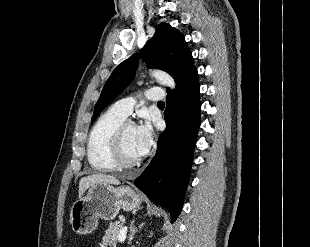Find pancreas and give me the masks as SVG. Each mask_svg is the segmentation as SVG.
Masks as SVG:
<instances>
[{"label":"pancreas","instance_id":"cf45deb5","mask_svg":"<svg viewBox=\"0 0 310 247\" xmlns=\"http://www.w3.org/2000/svg\"><path fill=\"white\" fill-rule=\"evenodd\" d=\"M122 228L123 224L120 222L109 224V227L102 238V247H116L119 242V234Z\"/></svg>","mask_w":310,"mask_h":247}]
</instances>
